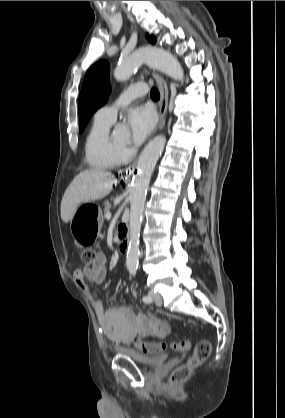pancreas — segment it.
I'll return each mask as SVG.
<instances>
[{
	"mask_svg": "<svg viewBox=\"0 0 285 418\" xmlns=\"http://www.w3.org/2000/svg\"><path fill=\"white\" fill-rule=\"evenodd\" d=\"M110 208H111L110 203H109L108 201H106V202L104 203V212H105V214H106V213H108V212L110 211Z\"/></svg>",
	"mask_w": 285,
	"mask_h": 418,
	"instance_id": "cf45deb5",
	"label": "pancreas"
}]
</instances>
